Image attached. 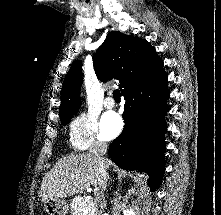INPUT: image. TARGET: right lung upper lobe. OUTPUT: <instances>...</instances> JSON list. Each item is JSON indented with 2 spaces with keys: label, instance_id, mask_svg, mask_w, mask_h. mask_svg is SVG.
<instances>
[{
  "label": "right lung upper lobe",
  "instance_id": "obj_1",
  "mask_svg": "<svg viewBox=\"0 0 221 215\" xmlns=\"http://www.w3.org/2000/svg\"><path fill=\"white\" fill-rule=\"evenodd\" d=\"M94 69L101 81L117 79L123 93L132 90L163 69L155 49L144 39L118 31L108 34L94 56ZM82 63L75 61L65 76L61 94L60 119L75 115L80 107Z\"/></svg>",
  "mask_w": 221,
  "mask_h": 215
}]
</instances>
